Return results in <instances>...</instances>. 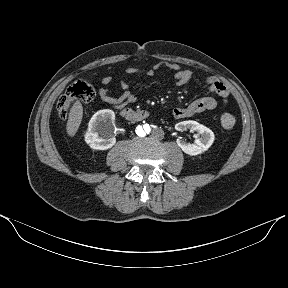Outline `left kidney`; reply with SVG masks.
Returning <instances> with one entry per match:
<instances>
[{"label": "left kidney", "mask_w": 288, "mask_h": 288, "mask_svg": "<svg viewBox=\"0 0 288 288\" xmlns=\"http://www.w3.org/2000/svg\"><path fill=\"white\" fill-rule=\"evenodd\" d=\"M177 131L197 132L200 137L193 143H187L184 139L178 138L177 144L182 151L188 155L195 156L208 150L214 142L215 136L212 130L196 121H182L175 125Z\"/></svg>", "instance_id": "left-kidney-1"}]
</instances>
